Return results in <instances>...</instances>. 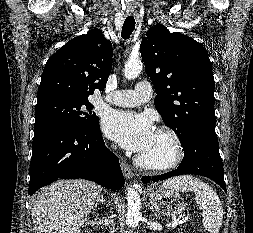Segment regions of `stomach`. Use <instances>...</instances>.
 <instances>
[{"instance_id": "1", "label": "stomach", "mask_w": 253, "mask_h": 233, "mask_svg": "<svg viewBox=\"0 0 253 233\" xmlns=\"http://www.w3.org/2000/svg\"><path fill=\"white\" fill-rule=\"evenodd\" d=\"M149 193L152 207L164 216H178L186 208L184 198L174 189L153 186Z\"/></svg>"}]
</instances>
